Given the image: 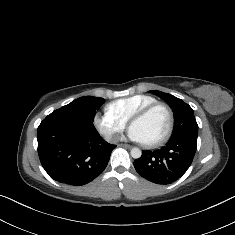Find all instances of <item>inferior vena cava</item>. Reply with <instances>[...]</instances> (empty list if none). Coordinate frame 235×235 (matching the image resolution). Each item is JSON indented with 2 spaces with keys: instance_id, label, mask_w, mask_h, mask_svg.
Wrapping results in <instances>:
<instances>
[{
  "instance_id": "602c4592",
  "label": "inferior vena cava",
  "mask_w": 235,
  "mask_h": 235,
  "mask_svg": "<svg viewBox=\"0 0 235 235\" xmlns=\"http://www.w3.org/2000/svg\"><path fill=\"white\" fill-rule=\"evenodd\" d=\"M117 136H112V138H111V142H117Z\"/></svg>"
}]
</instances>
